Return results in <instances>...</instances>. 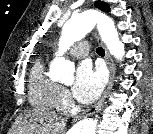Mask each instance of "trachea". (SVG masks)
Segmentation results:
<instances>
[{
	"label": "trachea",
	"instance_id": "obj_1",
	"mask_svg": "<svg viewBox=\"0 0 153 134\" xmlns=\"http://www.w3.org/2000/svg\"><path fill=\"white\" fill-rule=\"evenodd\" d=\"M96 52L100 56H104L105 55V51H104V49L102 47H98Z\"/></svg>",
	"mask_w": 153,
	"mask_h": 134
}]
</instances>
